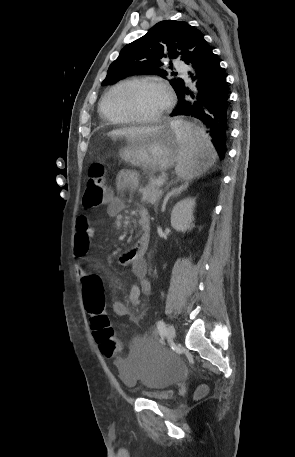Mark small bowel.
Returning a JSON list of instances; mask_svg holds the SVG:
<instances>
[{
	"instance_id": "1",
	"label": "small bowel",
	"mask_w": 295,
	"mask_h": 457,
	"mask_svg": "<svg viewBox=\"0 0 295 457\" xmlns=\"http://www.w3.org/2000/svg\"><path fill=\"white\" fill-rule=\"evenodd\" d=\"M138 185V176L133 171L123 170L119 173L116 179V187L120 191H134ZM123 209L124 201L118 196L111 195L107 205L108 215L111 217H119ZM138 218L143 229V233L136 245L132 249L121 254L119 257V262L123 265H129L138 280L131 288L129 294V302L133 306L139 305L141 294L148 296L152 295L151 284L145 278L147 273V264L144 259V254L148 248L150 238V219L147 210L142 207L138 208ZM94 234L95 229L88 216L79 215L76 220L74 254L77 260L74 263V272L82 285H84V282L89 277H98L96 275L88 274L83 268V263L89 255L90 244ZM112 309L116 315L129 317L134 322H137L140 319L137 314L132 313L129 307L121 301H114L112 303ZM115 342L119 343L116 340ZM140 344L141 343L135 345Z\"/></svg>"
}]
</instances>
